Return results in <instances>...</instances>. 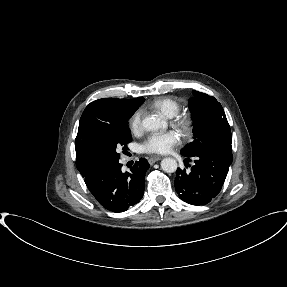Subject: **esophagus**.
<instances>
[{
    "label": "esophagus",
    "mask_w": 287,
    "mask_h": 287,
    "mask_svg": "<svg viewBox=\"0 0 287 287\" xmlns=\"http://www.w3.org/2000/svg\"><path fill=\"white\" fill-rule=\"evenodd\" d=\"M159 160H161V156H154V157H151V158H149V163L150 164H154L155 162H157V161H159Z\"/></svg>",
    "instance_id": "34e87169"
}]
</instances>
